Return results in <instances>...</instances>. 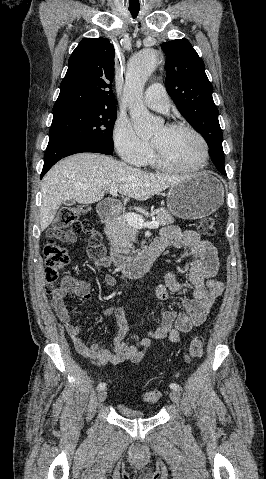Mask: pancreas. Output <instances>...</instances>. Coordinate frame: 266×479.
Returning a JSON list of instances; mask_svg holds the SVG:
<instances>
[{
  "label": "pancreas",
  "instance_id": "1",
  "mask_svg": "<svg viewBox=\"0 0 266 479\" xmlns=\"http://www.w3.org/2000/svg\"><path fill=\"white\" fill-rule=\"evenodd\" d=\"M155 214L154 220L158 221L162 226L174 222V218L166 209H160ZM136 235L137 228H134L126 221L125 215H117L109 224L107 231L111 251L125 255L135 253L133 243L136 242Z\"/></svg>",
  "mask_w": 266,
  "mask_h": 479
}]
</instances>
